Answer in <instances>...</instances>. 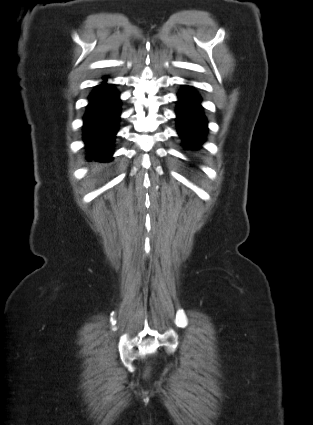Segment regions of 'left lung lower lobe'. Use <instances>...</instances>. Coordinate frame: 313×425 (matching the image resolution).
Segmentation results:
<instances>
[{
	"mask_svg": "<svg viewBox=\"0 0 313 425\" xmlns=\"http://www.w3.org/2000/svg\"><path fill=\"white\" fill-rule=\"evenodd\" d=\"M177 130L186 148H199L205 140L207 120L200 96L191 86H183L178 93Z\"/></svg>",
	"mask_w": 313,
	"mask_h": 425,
	"instance_id": "obj_1",
	"label": "left lung lower lobe"
}]
</instances>
